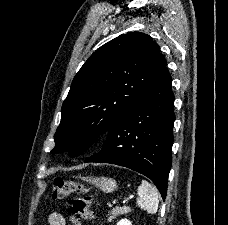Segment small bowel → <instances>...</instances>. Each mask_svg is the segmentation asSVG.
Returning <instances> with one entry per match:
<instances>
[{"label":"small bowel","mask_w":228,"mask_h":225,"mask_svg":"<svg viewBox=\"0 0 228 225\" xmlns=\"http://www.w3.org/2000/svg\"><path fill=\"white\" fill-rule=\"evenodd\" d=\"M71 225H82L80 220L74 216L70 217ZM49 225H66V220L62 214L58 212H52L48 215Z\"/></svg>","instance_id":"1"}]
</instances>
